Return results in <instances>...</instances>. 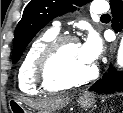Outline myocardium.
<instances>
[{
    "label": "myocardium",
    "instance_id": "1",
    "mask_svg": "<svg viewBox=\"0 0 123 113\" xmlns=\"http://www.w3.org/2000/svg\"><path fill=\"white\" fill-rule=\"evenodd\" d=\"M78 39L72 35H62L54 38L39 55L35 73L40 84L48 88L67 89L92 81L97 76V67L93 65L91 72L79 79L65 80L56 71V61L62 50L69 44H78Z\"/></svg>",
    "mask_w": 123,
    "mask_h": 113
}]
</instances>
